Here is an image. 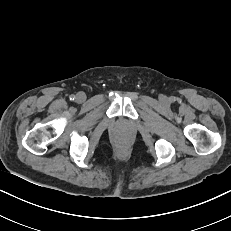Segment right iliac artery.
Instances as JSON below:
<instances>
[{
    "label": "right iliac artery",
    "instance_id": "1",
    "mask_svg": "<svg viewBox=\"0 0 231 231\" xmlns=\"http://www.w3.org/2000/svg\"><path fill=\"white\" fill-rule=\"evenodd\" d=\"M75 99V96L74 95H71L70 96V100H74Z\"/></svg>",
    "mask_w": 231,
    "mask_h": 231
}]
</instances>
